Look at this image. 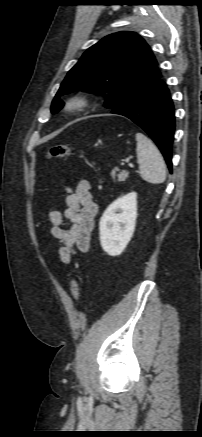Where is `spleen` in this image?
<instances>
[{
  "mask_svg": "<svg viewBox=\"0 0 202 437\" xmlns=\"http://www.w3.org/2000/svg\"><path fill=\"white\" fill-rule=\"evenodd\" d=\"M137 161L141 178L152 184H161L166 179V165L164 159L152 143L142 133H136Z\"/></svg>",
  "mask_w": 202,
  "mask_h": 437,
  "instance_id": "spleen-1",
  "label": "spleen"
}]
</instances>
